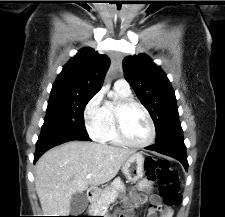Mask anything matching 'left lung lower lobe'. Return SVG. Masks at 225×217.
Listing matches in <instances>:
<instances>
[{
    "mask_svg": "<svg viewBox=\"0 0 225 217\" xmlns=\"http://www.w3.org/2000/svg\"><path fill=\"white\" fill-rule=\"evenodd\" d=\"M146 149L156 151L179 160L187 171L188 162L186 146L184 144L182 133L157 142L152 146L146 147Z\"/></svg>",
    "mask_w": 225,
    "mask_h": 217,
    "instance_id": "obj_1",
    "label": "left lung lower lobe"
}]
</instances>
